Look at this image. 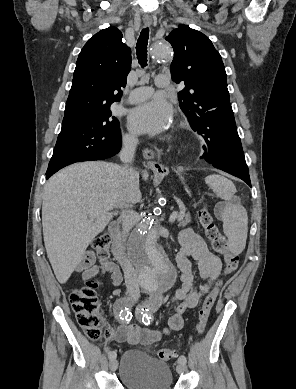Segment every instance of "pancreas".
I'll return each mask as SVG.
<instances>
[{
	"label": "pancreas",
	"instance_id": "obj_1",
	"mask_svg": "<svg viewBox=\"0 0 296 389\" xmlns=\"http://www.w3.org/2000/svg\"><path fill=\"white\" fill-rule=\"evenodd\" d=\"M177 221L179 227H185L187 224L191 222L190 214L185 213L183 210H181L178 214Z\"/></svg>",
	"mask_w": 296,
	"mask_h": 389
}]
</instances>
